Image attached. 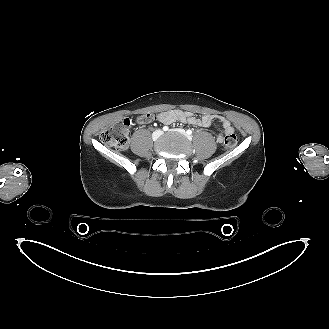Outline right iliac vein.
<instances>
[{"mask_svg":"<svg viewBox=\"0 0 329 329\" xmlns=\"http://www.w3.org/2000/svg\"><path fill=\"white\" fill-rule=\"evenodd\" d=\"M162 134V132L160 130H157L153 133V139H157L160 135Z\"/></svg>","mask_w":329,"mask_h":329,"instance_id":"1","label":"right iliac vein"}]
</instances>
